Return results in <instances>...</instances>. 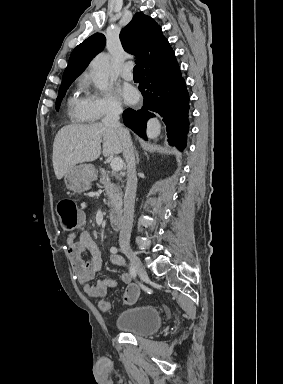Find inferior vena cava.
<instances>
[{"mask_svg": "<svg viewBox=\"0 0 283 384\" xmlns=\"http://www.w3.org/2000/svg\"><path fill=\"white\" fill-rule=\"evenodd\" d=\"M122 112L123 108L121 104H115V102H111L110 106H108L106 116L103 118L102 122L103 124H106V126H112V128H116L120 136V140L123 144V156L127 164V184L124 196L122 224L119 234V246L120 248H129L137 188V178L135 168L136 162L130 134L127 132V130H125V128H122V124L119 122V116L122 114Z\"/></svg>", "mask_w": 283, "mask_h": 384, "instance_id": "obj_1", "label": "inferior vena cava"}]
</instances>
